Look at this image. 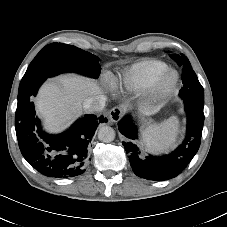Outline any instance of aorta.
Returning <instances> with one entry per match:
<instances>
[{
  "label": "aorta",
  "mask_w": 227,
  "mask_h": 227,
  "mask_svg": "<svg viewBox=\"0 0 227 227\" xmlns=\"http://www.w3.org/2000/svg\"><path fill=\"white\" fill-rule=\"evenodd\" d=\"M115 136V130L110 126H103L98 131V139L104 143L112 142Z\"/></svg>",
  "instance_id": "aorta-1"
}]
</instances>
